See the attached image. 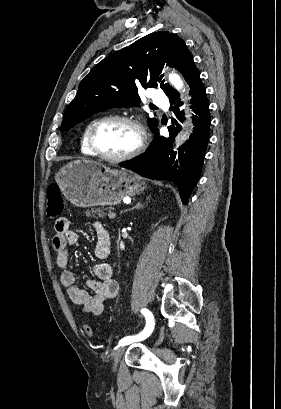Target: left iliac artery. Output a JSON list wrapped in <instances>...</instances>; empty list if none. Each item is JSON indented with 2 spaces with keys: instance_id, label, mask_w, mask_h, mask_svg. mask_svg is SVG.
I'll list each match as a JSON object with an SVG mask.
<instances>
[{
  "instance_id": "1",
  "label": "left iliac artery",
  "mask_w": 281,
  "mask_h": 409,
  "mask_svg": "<svg viewBox=\"0 0 281 409\" xmlns=\"http://www.w3.org/2000/svg\"><path fill=\"white\" fill-rule=\"evenodd\" d=\"M141 313L144 315V317L146 319V326H145L144 330L141 333H139L138 335L127 336V337L122 338L119 341L120 346L128 345V344H130V343H132L134 341L144 340L152 333L153 328H154V317H153L152 313L148 309H142Z\"/></svg>"
}]
</instances>
